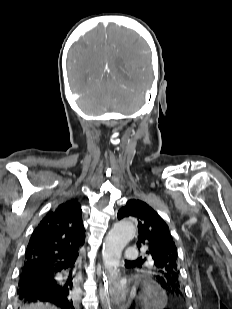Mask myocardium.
Returning <instances> with one entry per match:
<instances>
[{
  "label": "myocardium",
  "mask_w": 232,
  "mask_h": 309,
  "mask_svg": "<svg viewBox=\"0 0 232 309\" xmlns=\"http://www.w3.org/2000/svg\"><path fill=\"white\" fill-rule=\"evenodd\" d=\"M155 296V290L151 286H146L141 293V301L144 304L150 302Z\"/></svg>",
  "instance_id": "myocardium-1"
}]
</instances>
